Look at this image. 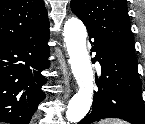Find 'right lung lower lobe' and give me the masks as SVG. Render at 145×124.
Masks as SVG:
<instances>
[{"mask_svg": "<svg viewBox=\"0 0 145 124\" xmlns=\"http://www.w3.org/2000/svg\"><path fill=\"white\" fill-rule=\"evenodd\" d=\"M49 29L41 35L0 44V122L28 124L44 100L49 67Z\"/></svg>", "mask_w": 145, "mask_h": 124, "instance_id": "right-lung-lower-lobe-1", "label": "right lung lower lobe"}]
</instances>
